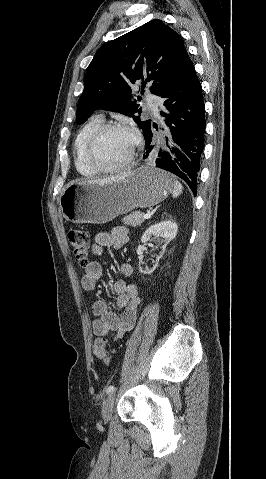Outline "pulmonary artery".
I'll return each mask as SVG.
<instances>
[{
	"label": "pulmonary artery",
	"instance_id": "pulmonary-artery-1",
	"mask_svg": "<svg viewBox=\"0 0 266 479\" xmlns=\"http://www.w3.org/2000/svg\"><path fill=\"white\" fill-rule=\"evenodd\" d=\"M151 111L155 113V112H156V107H153V106H152V107H151Z\"/></svg>",
	"mask_w": 266,
	"mask_h": 479
}]
</instances>
